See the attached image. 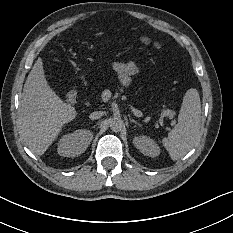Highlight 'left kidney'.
I'll return each instance as SVG.
<instances>
[{
	"label": "left kidney",
	"instance_id": "left-kidney-1",
	"mask_svg": "<svg viewBox=\"0 0 233 233\" xmlns=\"http://www.w3.org/2000/svg\"><path fill=\"white\" fill-rule=\"evenodd\" d=\"M133 145L143 155L148 157H159L162 150L158 142L149 135H138L132 139Z\"/></svg>",
	"mask_w": 233,
	"mask_h": 233
}]
</instances>
